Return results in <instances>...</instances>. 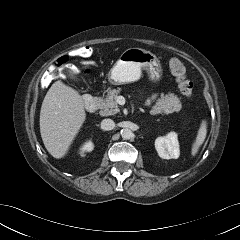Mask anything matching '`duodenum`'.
Wrapping results in <instances>:
<instances>
[{
    "instance_id": "1",
    "label": "duodenum",
    "mask_w": 240,
    "mask_h": 240,
    "mask_svg": "<svg viewBox=\"0 0 240 240\" xmlns=\"http://www.w3.org/2000/svg\"><path fill=\"white\" fill-rule=\"evenodd\" d=\"M83 105L88 112H93L98 106V99L96 97L88 96L84 99Z\"/></svg>"
}]
</instances>
